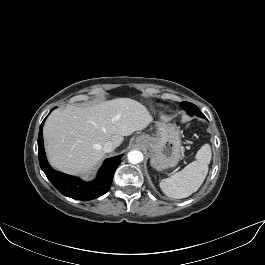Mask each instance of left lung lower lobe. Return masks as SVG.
<instances>
[{
    "label": "left lung lower lobe",
    "mask_w": 265,
    "mask_h": 265,
    "mask_svg": "<svg viewBox=\"0 0 265 265\" xmlns=\"http://www.w3.org/2000/svg\"><path fill=\"white\" fill-rule=\"evenodd\" d=\"M198 116V115H197ZM199 117L205 118V116L203 114L199 115Z\"/></svg>",
    "instance_id": "0a47b994"
}]
</instances>
